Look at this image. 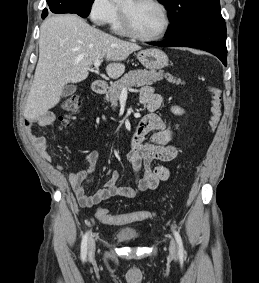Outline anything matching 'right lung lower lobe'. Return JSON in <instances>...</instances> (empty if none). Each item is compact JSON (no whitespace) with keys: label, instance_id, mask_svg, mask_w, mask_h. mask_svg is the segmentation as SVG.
Here are the masks:
<instances>
[{"label":"right lung lower lobe","instance_id":"1","mask_svg":"<svg viewBox=\"0 0 259 283\" xmlns=\"http://www.w3.org/2000/svg\"><path fill=\"white\" fill-rule=\"evenodd\" d=\"M48 8H45L42 12V18H45L48 15V12L53 13H77L80 16H83L80 13L82 7L81 0H47Z\"/></svg>","mask_w":259,"mask_h":283}]
</instances>
